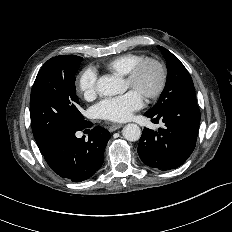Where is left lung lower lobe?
Wrapping results in <instances>:
<instances>
[{
	"label": "left lung lower lobe",
	"mask_w": 232,
	"mask_h": 232,
	"mask_svg": "<svg viewBox=\"0 0 232 232\" xmlns=\"http://www.w3.org/2000/svg\"><path fill=\"white\" fill-rule=\"evenodd\" d=\"M144 115L155 124L163 122L164 127L158 131L143 130L138 144L140 159L161 171L181 166L196 146L200 124L198 105L182 100L160 111L148 110Z\"/></svg>",
	"instance_id": "left-lung-lower-lobe-1"
}]
</instances>
